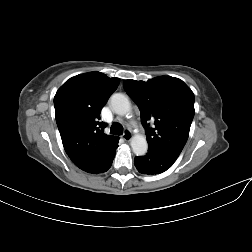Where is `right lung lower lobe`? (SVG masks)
Instances as JSON below:
<instances>
[{
	"mask_svg": "<svg viewBox=\"0 0 252 252\" xmlns=\"http://www.w3.org/2000/svg\"><path fill=\"white\" fill-rule=\"evenodd\" d=\"M117 147H118V143L115 145V147H114V149H113V152H112V154H111V161L109 162V164L107 165V167L105 168V170L103 171V172H106L110 167H111V164H112V161H113V159H114V156H115V151H116V149H117ZM102 173V172H101Z\"/></svg>",
	"mask_w": 252,
	"mask_h": 252,
	"instance_id": "1",
	"label": "right lung lower lobe"
}]
</instances>
